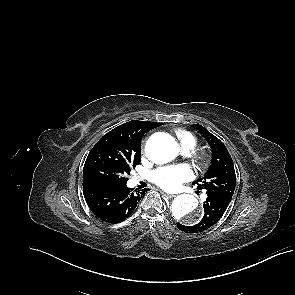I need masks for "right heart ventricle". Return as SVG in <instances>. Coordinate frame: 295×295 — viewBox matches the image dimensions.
Returning <instances> with one entry per match:
<instances>
[{"label": "right heart ventricle", "mask_w": 295, "mask_h": 295, "mask_svg": "<svg viewBox=\"0 0 295 295\" xmlns=\"http://www.w3.org/2000/svg\"><path fill=\"white\" fill-rule=\"evenodd\" d=\"M176 136L179 139L181 148L194 149L197 145L196 137L189 131L178 129L176 131Z\"/></svg>", "instance_id": "e07e8e85"}]
</instances>
